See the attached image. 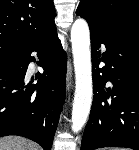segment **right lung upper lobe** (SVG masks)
Returning a JSON list of instances; mask_svg holds the SVG:
<instances>
[{
	"instance_id": "cb5924a9",
	"label": "right lung upper lobe",
	"mask_w": 139,
	"mask_h": 150,
	"mask_svg": "<svg viewBox=\"0 0 139 150\" xmlns=\"http://www.w3.org/2000/svg\"><path fill=\"white\" fill-rule=\"evenodd\" d=\"M55 16L52 0H0V45L33 44L55 25Z\"/></svg>"
}]
</instances>
